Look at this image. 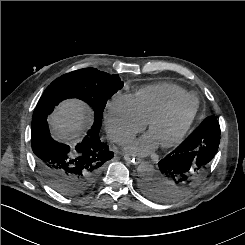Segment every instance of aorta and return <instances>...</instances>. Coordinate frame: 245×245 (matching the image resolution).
<instances>
[{"mask_svg": "<svg viewBox=\"0 0 245 245\" xmlns=\"http://www.w3.org/2000/svg\"><path fill=\"white\" fill-rule=\"evenodd\" d=\"M139 176L144 180H150L154 174V166L148 162H142L137 168Z\"/></svg>", "mask_w": 245, "mask_h": 245, "instance_id": "aorta-1", "label": "aorta"}]
</instances>
